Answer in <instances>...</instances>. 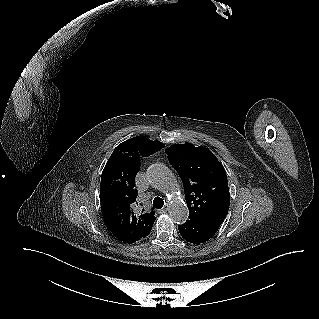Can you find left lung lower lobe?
<instances>
[{"label":"left lung lower lobe","mask_w":319,"mask_h":319,"mask_svg":"<svg viewBox=\"0 0 319 319\" xmlns=\"http://www.w3.org/2000/svg\"><path fill=\"white\" fill-rule=\"evenodd\" d=\"M220 225L187 220L178 226L181 236L190 243H203L209 240L219 229Z\"/></svg>","instance_id":"obj_1"}]
</instances>
